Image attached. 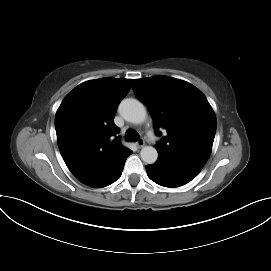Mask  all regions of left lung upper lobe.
<instances>
[{
    "instance_id": "left-lung-upper-lobe-1",
    "label": "left lung upper lobe",
    "mask_w": 271,
    "mask_h": 271,
    "mask_svg": "<svg viewBox=\"0 0 271 271\" xmlns=\"http://www.w3.org/2000/svg\"><path fill=\"white\" fill-rule=\"evenodd\" d=\"M137 98L153 117L156 133L167 135L155 145L158 152L205 165L216 132V117L204 94L192 84L158 75L133 80Z\"/></svg>"
}]
</instances>
